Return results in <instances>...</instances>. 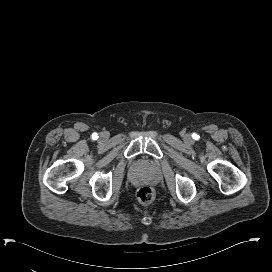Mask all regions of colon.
I'll return each instance as SVG.
<instances>
[{
	"label": "colon",
	"mask_w": 272,
	"mask_h": 272,
	"mask_svg": "<svg viewBox=\"0 0 272 272\" xmlns=\"http://www.w3.org/2000/svg\"><path fill=\"white\" fill-rule=\"evenodd\" d=\"M136 198L141 204L147 205L154 200L155 192L151 187L143 186L136 191Z\"/></svg>",
	"instance_id": "5ec220e1"
}]
</instances>
